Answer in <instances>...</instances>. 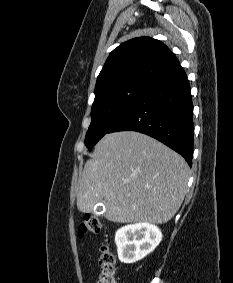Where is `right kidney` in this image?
I'll return each mask as SVG.
<instances>
[{"label": "right kidney", "mask_w": 233, "mask_h": 283, "mask_svg": "<svg viewBox=\"0 0 233 283\" xmlns=\"http://www.w3.org/2000/svg\"><path fill=\"white\" fill-rule=\"evenodd\" d=\"M159 228L149 223L129 224L117 230L115 243L118 258L123 263H134L151 253L161 242Z\"/></svg>", "instance_id": "ca27d5eb"}]
</instances>
